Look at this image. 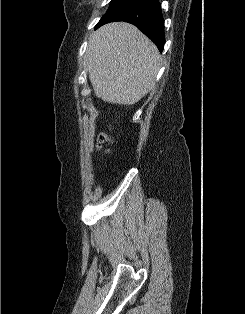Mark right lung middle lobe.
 I'll return each instance as SVG.
<instances>
[{
	"instance_id": "dd1d6c3e",
	"label": "right lung middle lobe",
	"mask_w": 245,
	"mask_h": 314,
	"mask_svg": "<svg viewBox=\"0 0 245 314\" xmlns=\"http://www.w3.org/2000/svg\"><path fill=\"white\" fill-rule=\"evenodd\" d=\"M128 0H112L111 5L105 15L101 18V21H103L110 13H112L114 10H116L118 7L122 6L124 3H126Z\"/></svg>"
}]
</instances>
